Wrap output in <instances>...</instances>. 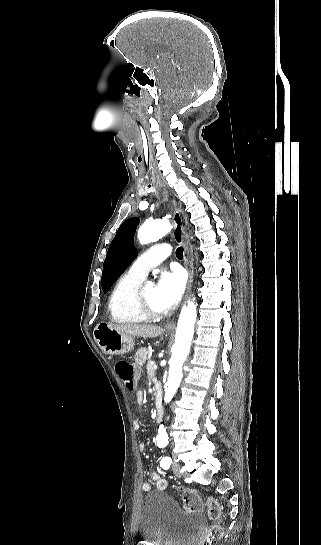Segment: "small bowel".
<instances>
[{"label": "small bowel", "mask_w": 321, "mask_h": 545, "mask_svg": "<svg viewBox=\"0 0 321 545\" xmlns=\"http://www.w3.org/2000/svg\"><path fill=\"white\" fill-rule=\"evenodd\" d=\"M143 400H144V398H143V393H142V392H137V394H136V401H137V403H138L139 405H141V404L143 403ZM134 428H135L136 430H138V429L140 428V423H139L138 421H135V422H134ZM138 448H139V450H140L141 452H143L144 449H145V444H144V443H140V444L138 445ZM150 478H151L152 482L155 484V486H156L157 489H159V490H164V489L166 488V486H167L166 480H165L164 478H162L157 472H152V473L150 474ZM151 488H152V486H151V484L148 483V482H145V483L142 484V489H143V491H145V492L150 491Z\"/></svg>", "instance_id": "obj_1"}]
</instances>
